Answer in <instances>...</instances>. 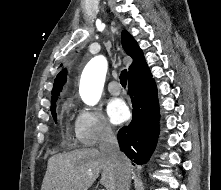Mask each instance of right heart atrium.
<instances>
[{"label":"right heart atrium","mask_w":221,"mask_h":190,"mask_svg":"<svg viewBox=\"0 0 221 190\" xmlns=\"http://www.w3.org/2000/svg\"><path fill=\"white\" fill-rule=\"evenodd\" d=\"M75 134L83 146L92 147L109 141L113 130L99 111L82 108L76 113Z\"/></svg>","instance_id":"obj_1"}]
</instances>
